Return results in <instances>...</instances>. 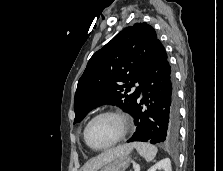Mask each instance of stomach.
I'll list each match as a JSON object with an SVG mask.
<instances>
[{
  "label": "stomach",
  "mask_w": 223,
  "mask_h": 171,
  "mask_svg": "<svg viewBox=\"0 0 223 171\" xmlns=\"http://www.w3.org/2000/svg\"><path fill=\"white\" fill-rule=\"evenodd\" d=\"M130 162L131 158L128 155H122L103 166L100 171H125Z\"/></svg>",
  "instance_id": "1"
}]
</instances>
